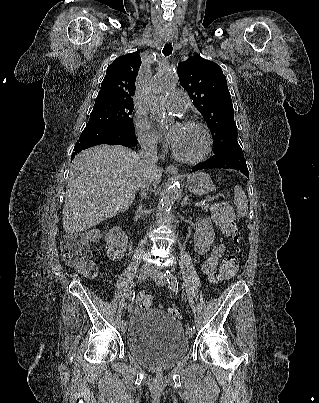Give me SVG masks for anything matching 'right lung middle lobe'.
Returning a JSON list of instances; mask_svg holds the SVG:
<instances>
[{
  "mask_svg": "<svg viewBox=\"0 0 319 403\" xmlns=\"http://www.w3.org/2000/svg\"><path fill=\"white\" fill-rule=\"evenodd\" d=\"M133 108L131 104L95 102L86 127L120 125L134 132L133 119L129 117Z\"/></svg>",
  "mask_w": 319,
  "mask_h": 403,
  "instance_id": "dd1d6c3e",
  "label": "right lung middle lobe"
}]
</instances>
